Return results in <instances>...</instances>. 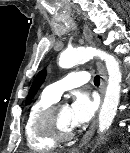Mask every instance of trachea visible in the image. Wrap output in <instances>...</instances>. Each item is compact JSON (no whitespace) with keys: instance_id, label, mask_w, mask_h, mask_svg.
<instances>
[{"instance_id":"3493384b","label":"trachea","mask_w":130,"mask_h":153,"mask_svg":"<svg viewBox=\"0 0 130 153\" xmlns=\"http://www.w3.org/2000/svg\"><path fill=\"white\" fill-rule=\"evenodd\" d=\"M94 84H95L96 86H99V85H100V77H99V75H96V76L94 77Z\"/></svg>"}]
</instances>
